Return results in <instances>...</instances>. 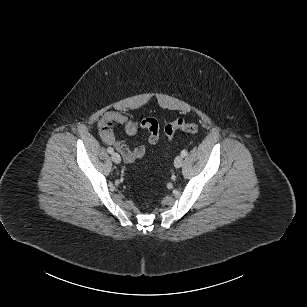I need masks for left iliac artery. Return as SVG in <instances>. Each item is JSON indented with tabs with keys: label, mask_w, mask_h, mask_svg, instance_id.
<instances>
[{
	"label": "left iliac artery",
	"mask_w": 307,
	"mask_h": 307,
	"mask_svg": "<svg viewBox=\"0 0 307 307\" xmlns=\"http://www.w3.org/2000/svg\"><path fill=\"white\" fill-rule=\"evenodd\" d=\"M187 154H188L187 150H182L181 151V156L185 157V156H187Z\"/></svg>",
	"instance_id": "44dca946"
}]
</instances>
